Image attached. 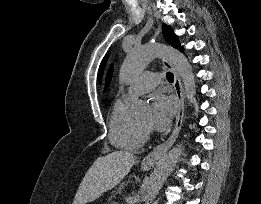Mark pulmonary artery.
<instances>
[{
  "label": "pulmonary artery",
  "mask_w": 261,
  "mask_h": 204,
  "mask_svg": "<svg viewBox=\"0 0 261 204\" xmlns=\"http://www.w3.org/2000/svg\"><path fill=\"white\" fill-rule=\"evenodd\" d=\"M161 80V75L145 72L135 79L128 90L129 96L140 95L153 89Z\"/></svg>",
  "instance_id": "e3ab8cb5"
}]
</instances>
